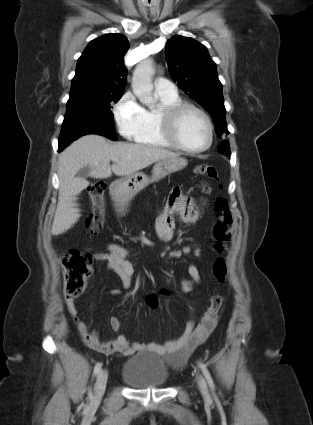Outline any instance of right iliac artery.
<instances>
[{
    "mask_svg": "<svg viewBox=\"0 0 313 425\" xmlns=\"http://www.w3.org/2000/svg\"><path fill=\"white\" fill-rule=\"evenodd\" d=\"M101 367H102V364H101V363H97V364L95 365V367H94V371H93V376H96V375L100 372ZM88 397H89V398H91V397H92V392L90 391V389H89V391H88Z\"/></svg>",
    "mask_w": 313,
    "mask_h": 425,
    "instance_id": "right-iliac-artery-1",
    "label": "right iliac artery"
}]
</instances>
